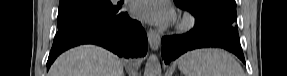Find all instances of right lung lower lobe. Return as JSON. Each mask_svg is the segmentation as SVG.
<instances>
[{
  "label": "right lung lower lobe",
  "instance_id": "98d812e1",
  "mask_svg": "<svg viewBox=\"0 0 287 76\" xmlns=\"http://www.w3.org/2000/svg\"><path fill=\"white\" fill-rule=\"evenodd\" d=\"M80 44H96L120 57L137 58L147 53L148 40L141 24L119 9L105 17L80 21L59 30L47 61V69L65 50Z\"/></svg>",
  "mask_w": 287,
  "mask_h": 76
}]
</instances>
